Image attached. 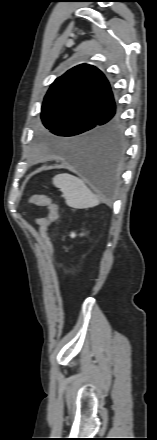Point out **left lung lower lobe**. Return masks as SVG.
Listing matches in <instances>:
<instances>
[{
  "label": "left lung lower lobe",
  "instance_id": "obj_1",
  "mask_svg": "<svg viewBox=\"0 0 157 440\" xmlns=\"http://www.w3.org/2000/svg\"><path fill=\"white\" fill-rule=\"evenodd\" d=\"M95 135L65 146L67 161L100 192L116 186L125 152L124 128L115 114Z\"/></svg>",
  "mask_w": 157,
  "mask_h": 440
}]
</instances>
